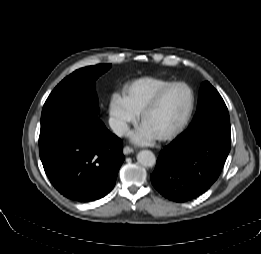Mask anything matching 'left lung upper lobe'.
Returning <instances> with one entry per match:
<instances>
[{
  "instance_id": "1",
  "label": "left lung upper lobe",
  "mask_w": 261,
  "mask_h": 254,
  "mask_svg": "<svg viewBox=\"0 0 261 254\" xmlns=\"http://www.w3.org/2000/svg\"><path fill=\"white\" fill-rule=\"evenodd\" d=\"M230 128L228 109L220 94L209 83L204 82L199 91V100L195 117L185 134H196L210 127Z\"/></svg>"
}]
</instances>
